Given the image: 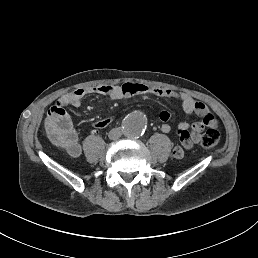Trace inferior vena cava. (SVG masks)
Here are the masks:
<instances>
[{"label": "inferior vena cava", "instance_id": "602c4592", "mask_svg": "<svg viewBox=\"0 0 258 258\" xmlns=\"http://www.w3.org/2000/svg\"><path fill=\"white\" fill-rule=\"evenodd\" d=\"M122 129L121 128H114V129H112L111 130V132L109 133V138L110 139H112V140H114V139H119L120 138V136H121V134H122Z\"/></svg>", "mask_w": 258, "mask_h": 258}]
</instances>
